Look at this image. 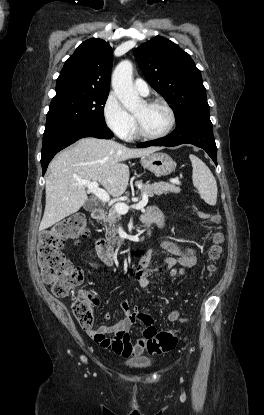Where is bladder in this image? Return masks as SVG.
I'll use <instances>...</instances> for the list:
<instances>
[{
    "mask_svg": "<svg viewBox=\"0 0 264 415\" xmlns=\"http://www.w3.org/2000/svg\"><path fill=\"white\" fill-rule=\"evenodd\" d=\"M125 364L133 368L145 369L151 365V361L147 358H138V359H130L126 361Z\"/></svg>",
    "mask_w": 264,
    "mask_h": 415,
    "instance_id": "obj_1",
    "label": "bladder"
}]
</instances>
